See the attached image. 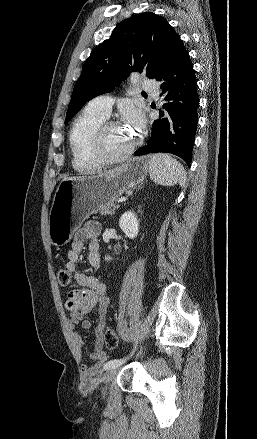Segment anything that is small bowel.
I'll return each mask as SVG.
<instances>
[{
    "label": "small bowel",
    "instance_id": "1",
    "mask_svg": "<svg viewBox=\"0 0 257 439\" xmlns=\"http://www.w3.org/2000/svg\"><path fill=\"white\" fill-rule=\"evenodd\" d=\"M100 230V224L95 221L87 222L81 227L73 237L65 264V270L74 274V279L79 286V288L69 291L65 302V307L71 316L72 338L78 350L83 349L84 341L80 333L75 330L76 327L89 329L91 322L85 316L93 311H96L99 317L98 325L95 328L94 349L88 354V358L93 362V365L83 367L84 381L89 380L96 373L97 367L107 359V354L103 350L105 316L110 302L106 285L95 276L77 271V262L85 243H88L87 259L89 264L93 269L99 268L101 259L97 238Z\"/></svg>",
    "mask_w": 257,
    "mask_h": 439
}]
</instances>
